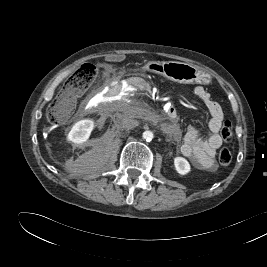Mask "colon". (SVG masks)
<instances>
[{"mask_svg": "<svg viewBox=\"0 0 267 267\" xmlns=\"http://www.w3.org/2000/svg\"><path fill=\"white\" fill-rule=\"evenodd\" d=\"M97 76V68L93 64H83L65 83L62 91L51 105L47 119L51 124H59L73 112L77 99L86 91L94 82ZM221 136L225 142L233 140V129L229 121H225ZM219 162L223 166H227L232 161V153L228 148H223L219 152Z\"/></svg>", "mask_w": 267, "mask_h": 267, "instance_id": "5ec220e1", "label": "colon"}]
</instances>
